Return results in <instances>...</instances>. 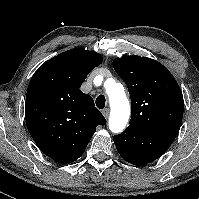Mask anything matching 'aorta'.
Returning a JSON list of instances; mask_svg holds the SVG:
<instances>
[{"instance_id":"762f6f07","label":"aorta","mask_w":199,"mask_h":199,"mask_svg":"<svg viewBox=\"0 0 199 199\" xmlns=\"http://www.w3.org/2000/svg\"><path fill=\"white\" fill-rule=\"evenodd\" d=\"M105 89L111 106L109 129L113 133H120L125 128L130 116L129 101L123 85L115 79L108 78L105 82Z\"/></svg>"}]
</instances>
